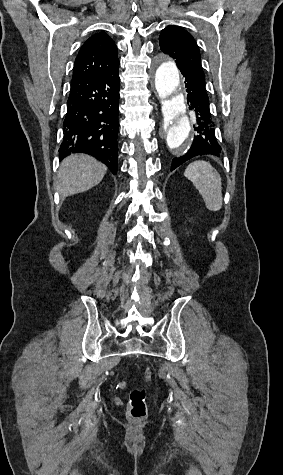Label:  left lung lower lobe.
<instances>
[{"instance_id":"left-lung-lower-lobe-1","label":"left lung lower lobe","mask_w":283,"mask_h":475,"mask_svg":"<svg viewBox=\"0 0 283 475\" xmlns=\"http://www.w3.org/2000/svg\"><path fill=\"white\" fill-rule=\"evenodd\" d=\"M179 69L185 77L187 101L189 109L193 111L196 134L188 152L173 159L171 171L195 156L211 154L219 157L221 154V146L215 137V124L209 109L203 70L191 67Z\"/></svg>"}]
</instances>
